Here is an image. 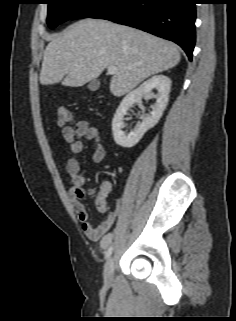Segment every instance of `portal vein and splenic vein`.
<instances>
[{"label": "portal vein and splenic vein", "mask_w": 236, "mask_h": 321, "mask_svg": "<svg viewBox=\"0 0 236 321\" xmlns=\"http://www.w3.org/2000/svg\"><path fill=\"white\" fill-rule=\"evenodd\" d=\"M108 74L114 75L118 72V68L116 66H110L107 68Z\"/></svg>", "instance_id": "1"}]
</instances>
